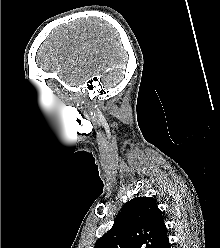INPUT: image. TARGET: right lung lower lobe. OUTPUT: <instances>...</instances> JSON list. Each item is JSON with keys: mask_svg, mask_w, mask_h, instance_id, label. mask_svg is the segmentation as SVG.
<instances>
[{"mask_svg": "<svg viewBox=\"0 0 220 248\" xmlns=\"http://www.w3.org/2000/svg\"><path fill=\"white\" fill-rule=\"evenodd\" d=\"M158 248H170V243L168 238L166 237L165 240L158 246Z\"/></svg>", "mask_w": 220, "mask_h": 248, "instance_id": "right-lung-lower-lobe-1", "label": "right lung lower lobe"}]
</instances>
